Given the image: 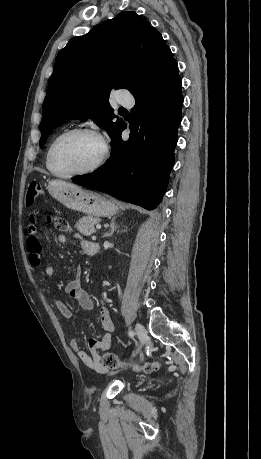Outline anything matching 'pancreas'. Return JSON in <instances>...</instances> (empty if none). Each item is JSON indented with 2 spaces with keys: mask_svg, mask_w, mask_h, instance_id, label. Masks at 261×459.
<instances>
[{
  "mask_svg": "<svg viewBox=\"0 0 261 459\" xmlns=\"http://www.w3.org/2000/svg\"><path fill=\"white\" fill-rule=\"evenodd\" d=\"M100 222L98 217L93 216H83L79 219L76 224L75 228L83 235L90 236L96 233L95 225Z\"/></svg>",
  "mask_w": 261,
  "mask_h": 459,
  "instance_id": "pancreas-1",
  "label": "pancreas"
}]
</instances>
